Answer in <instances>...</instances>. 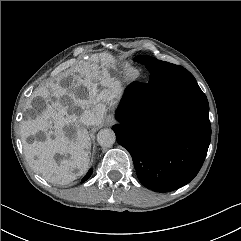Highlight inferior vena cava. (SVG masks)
<instances>
[{
	"mask_svg": "<svg viewBox=\"0 0 241 241\" xmlns=\"http://www.w3.org/2000/svg\"><path fill=\"white\" fill-rule=\"evenodd\" d=\"M94 120H95V114L90 110L84 111V113L80 117V122L86 126L93 125Z\"/></svg>",
	"mask_w": 241,
	"mask_h": 241,
	"instance_id": "obj_1",
	"label": "inferior vena cava"
}]
</instances>
